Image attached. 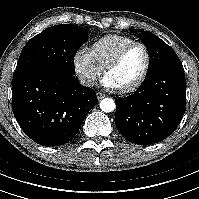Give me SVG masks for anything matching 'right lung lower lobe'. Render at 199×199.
I'll list each match as a JSON object with an SVG mask.
<instances>
[{
	"label": "right lung lower lobe",
	"mask_w": 199,
	"mask_h": 199,
	"mask_svg": "<svg viewBox=\"0 0 199 199\" xmlns=\"http://www.w3.org/2000/svg\"><path fill=\"white\" fill-rule=\"evenodd\" d=\"M96 103L93 89L55 69L27 72L12 80L13 114L24 133L43 146L69 142Z\"/></svg>",
	"instance_id": "right-lung-lower-lobe-1"
}]
</instances>
